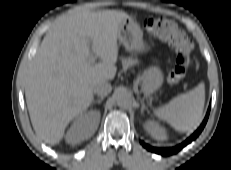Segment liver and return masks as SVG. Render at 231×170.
Returning <instances> with one entry per match:
<instances>
[{
    "instance_id": "liver-1",
    "label": "liver",
    "mask_w": 231,
    "mask_h": 170,
    "mask_svg": "<svg viewBox=\"0 0 231 170\" xmlns=\"http://www.w3.org/2000/svg\"><path fill=\"white\" fill-rule=\"evenodd\" d=\"M128 18L122 11L78 6L51 26L25 79L31 123L41 140L59 143L71 120L90 106L94 85L115 77L118 29ZM90 43L101 62L89 61Z\"/></svg>"
}]
</instances>
